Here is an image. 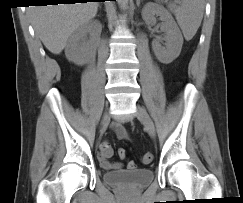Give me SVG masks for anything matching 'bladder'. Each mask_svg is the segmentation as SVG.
<instances>
[{"instance_id": "1", "label": "bladder", "mask_w": 243, "mask_h": 203, "mask_svg": "<svg viewBox=\"0 0 243 203\" xmlns=\"http://www.w3.org/2000/svg\"><path fill=\"white\" fill-rule=\"evenodd\" d=\"M102 177L109 185L126 189H141L153 181L154 172L150 168L107 171Z\"/></svg>"}]
</instances>
